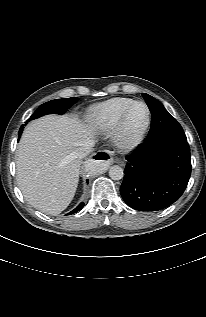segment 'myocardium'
Returning a JSON list of instances; mask_svg holds the SVG:
<instances>
[{
    "label": "myocardium",
    "mask_w": 206,
    "mask_h": 317,
    "mask_svg": "<svg viewBox=\"0 0 206 317\" xmlns=\"http://www.w3.org/2000/svg\"><path fill=\"white\" fill-rule=\"evenodd\" d=\"M137 105H143L146 108V119L144 123L134 132L127 131V119L132 109ZM151 120V111L148 105L143 101H134L120 115L113 131V140L120 149H131L138 145L148 130Z\"/></svg>",
    "instance_id": "obj_1"
}]
</instances>
